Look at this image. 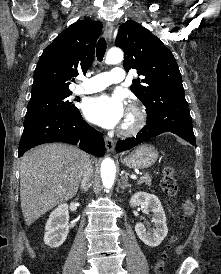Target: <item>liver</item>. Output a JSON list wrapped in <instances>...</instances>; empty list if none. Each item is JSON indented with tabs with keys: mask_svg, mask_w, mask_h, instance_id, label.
Listing matches in <instances>:
<instances>
[{
	"mask_svg": "<svg viewBox=\"0 0 221 274\" xmlns=\"http://www.w3.org/2000/svg\"><path fill=\"white\" fill-rule=\"evenodd\" d=\"M90 156L77 147L51 143L26 152L20 163V200L26 225L73 198Z\"/></svg>",
	"mask_w": 221,
	"mask_h": 274,
	"instance_id": "obj_1",
	"label": "liver"
}]
</instances>
